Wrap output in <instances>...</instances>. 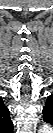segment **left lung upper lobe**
<instances>
[{
    "mask_svg": "<svg viewBox=\"0 0 53 133\" xmlns=\"http://www.w3.org/2000/svg\"><path fill=\"white\" fill-rule=\"evenodd\" d=\"M45 122H52L53 118V99L49 97L47 99L46 105L43 109Z\"/></svg>",
    "mask_w": 53,
    "mask_h": 133,
    "instance_id": "left-lung-upper-lobe-1",
    "label": "left lung upper lobe"
}]
</instances>
